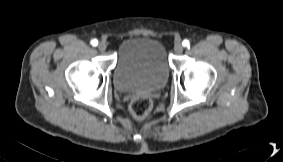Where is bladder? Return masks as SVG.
<instances>
[{"label": "bladder", "instance_id": "obj_1", "mask_svg": "<svg viewBox=\"0 0 283 162\" xmlns=\"http://www.w3.org/2000/svg\"><path fill=\"white\" fill-rule=\"evenodd\" d=\"M169 73L163 44L151 37L136 36L120 44L112 80L120 92L157 90L166 84Z\"/></svg>", "mask_w": 283, "mask_h": 162}]
</instances>
